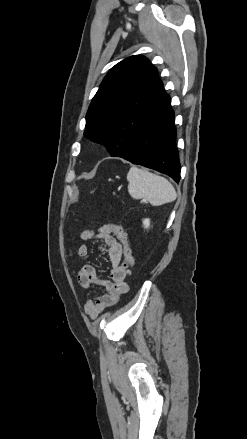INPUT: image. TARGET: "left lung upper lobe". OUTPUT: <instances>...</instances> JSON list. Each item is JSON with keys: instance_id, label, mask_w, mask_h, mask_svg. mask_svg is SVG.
I'll list each match as a JSON object with an SVG mask.
<instances>
[{"instance_id": "1", "label": "left lung upper lobe", "mask_w": 247, "mask_h": 439, "mask_svg": "<svg viewBox=\"0 0 247 439\" xmlns=\"http://www.w3.org/2000/svg\"><path fill=\"white\" fill-rule=\"evenodd\" d=\"M157 69L140 55L116 64L103 79L86 115L84 135L123 157L138 130L169 99Z\"/></svg>"}]
</instances>
